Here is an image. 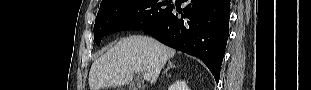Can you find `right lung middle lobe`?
Wrapping results in <instances>:
<instances>
[{
    "label": "right lung middle lobe",
    "mask_w": 311,
    "mask_h": 90,
    "mask_svg": "<svg viewBox=\"0 0 311 90\" xmlns=\"http://www.w3.org/2000/svg\"><path fill=\"white\" fill-rule=\"evenodd\" d=\"M172 7L170 2L159 0H106L100 4L94 25V40L113 32L140 30L162 19Z\"/></svg>",
    "instance_id": "obj_1"
}]
</instances>
